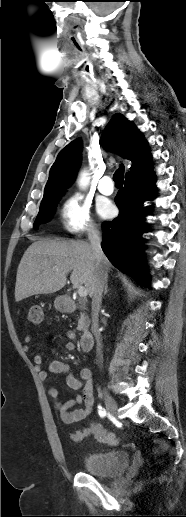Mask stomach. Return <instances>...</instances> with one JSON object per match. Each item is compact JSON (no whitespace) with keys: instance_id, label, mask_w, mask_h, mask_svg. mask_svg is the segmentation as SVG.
Listing matches in <instances>:
<instances>
[{"instance_id":"0dacf381","label":"stomach","mask_w":186,"mask_h":517,"mask_svg":"<svg viewBox=\"0 0 186 517\" xmlns=\"http://www.w3.org/2000/svg\"><path fill=\"white\" fill-rule=\"evenodd\" d=\"M55 307L58 309V310H62L64 308V305H63V302H62V298L61 297H57L56 300H55Z\"/></svg>"}]
</instances>
